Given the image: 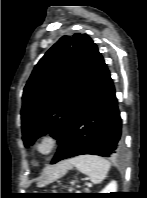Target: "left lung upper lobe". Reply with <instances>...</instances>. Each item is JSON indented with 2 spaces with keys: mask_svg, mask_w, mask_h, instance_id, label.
I'll use <instances>...</instances> for the list:
<instances>
[{
  "mask_svg": "<svg viewBox=\"0 0 147 198\" xmlns=\"http://www.w3.org/2000/svg\"><path fill=\"white\" fill-rule=\"evenodd\" d=\"M98 48L86 34L63 36L35 66L23 92L26 146L47 133L64 138L94 74Z\"/></svg>",
  "mask_w": 147,
  "mask_h": 198,
  "instance_id": "obj_1",
  "label": "left lung upper lobe"
}]
</instances>
